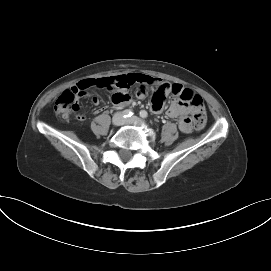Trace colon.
Wrapping results in <instances>:
<instances>
[{
    "label": "colon",
    "mask_w": 271,
    "mask_h": 271,
    "mask_svg": "<svg viewBox=\"0 0 271 271\" xmlns=\"http://www.w3.org/2000/svg\"><path fill=\"white\" fill-rule=\"evenodd\" d=\"M89 87L90 86L88 85H83L73 87L72 89L63 92L55 102V112L64 118H67L72 113L77 112L79 110L78 96L83 94V91ZM181 100L196 108V113L193 117L194 127L197 130L204 128L206 123V115L202 98L198 95L184 94L181 97Z\"/></svg>",
    "instance_id": "5ec220e1"
}]
</instances>
